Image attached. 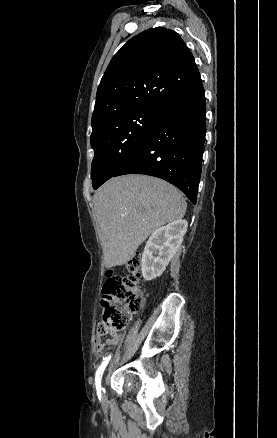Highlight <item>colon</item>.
Here are the masks:
<instances>
[{
    "label": "colon",
    "mask_w": 277,
    "mask_h": 438,
    "mask_svg": "<svg viewBox=\"0 0 277 438\" xmlns=\"http://www.w3.org/2000/svg\"><path fill=\"white\" fill-rule=\"evenodd\" d=\"M128 271L134 276L140 273V261L132 259L128 262ZM106 284L99 285L101 302L106 305L99 323L100 333L105 335L109 331L123 330L132 314L140 311L143 301V292L138 288L135 278L130 276H112L107 272Z\"/></svg>",
    "instance_id": "1"
}]
</instances>
